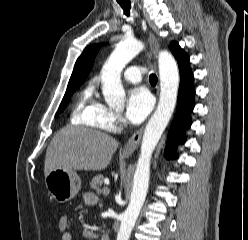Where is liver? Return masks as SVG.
Masks as SVG:
<instances>
[{
    "instance_id": "6515ba94",
    "label": "liver",
    "mask_w": 248,
    "mask_h": 240,
    "mask_svg": "<svg viewBox=\"0 0 248 240\" xmlns=\"http://www.w3.org/2000/svg\"><path fill=\"white\" fill-rule=\"evenodd\" d=\"M118 148V142L105 133L83 128L66 127L56 133L45 157V177L53 170L101 171Z\"/></svg>"
}]
</instances>
